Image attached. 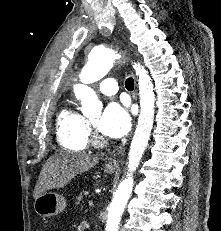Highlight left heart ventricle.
<instances>
[{
	"mask_svg": "<svg viewBox=\"0 0 221 231\" xmlns=\"http://www.w3.org/2000/svg\"><path fill=\"white\" fill-rule=\"evenodd\" d=\"M91 123L94 124V125H96L98 123V118L92 119Z\"/></svg>",
	"mask_w": 221,
	"mask_h": 231,
	"instance_id": "1",
	"label": "left heart ventricle"
}]
</instances>
